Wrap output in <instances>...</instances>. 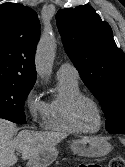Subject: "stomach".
<instances>
[{
  "label": "stomach",
  "instance_id": "obj_1",
  "mask_svg": "<svg viewBox=\"0 0 125 167\" xmlns=\"http://www.w3.org/2000/svg\"><path fill=\"white\" fill-rule=\"evenodd\" d=\"M70 148L76 155L82 157H101L111 151V145L102 137H83L72 141ZM58 156L56 147L46 148L37 156L31 158L27 167H48Z\"/></svg>",
  "mask_w": 125,
  "mask_h": 167
}]
</instances>
